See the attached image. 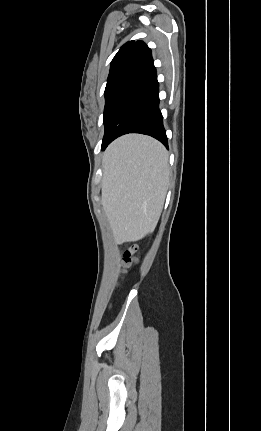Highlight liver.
Segmentation results:
<instances>
[{
    "instance_id": "liver-1",
    "label": "liver",
    "mask_w": 261,
    "mask_h": 431,
    "mask_svg": "<svg viewBox=\"0 0 261 431\" xmlns=\"http://www.w3.org/2000/svg\"><path fill=\"white\" fill-rule=\"evenodd\" d=\"M102 206L117 243L143 238L156 225L169 183L168 154L157 140L128 134L103 160Z\"/></svg>"
}]
</instances>
